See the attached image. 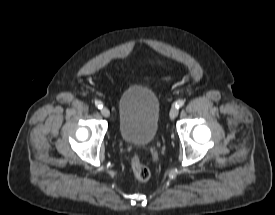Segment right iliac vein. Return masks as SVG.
Here are the masks:
<instances>
[{"instance_id": "right-iliac-vein-1", "label": "right iliac vein", "mask_w": 275, "mask_h": 215, "mask_svg": "<svg viewBox=\"0 0 275 215\" xmlns=\"http://www.w3.org/2000/svg\"><path fill=\"white\" fill-rule=\"evenodd\" d=\"M101 114H102L104 117L108 118V117L110 116V111H109L108 108L102 107V108H101Z\"/></svg>"}]
</instances>
